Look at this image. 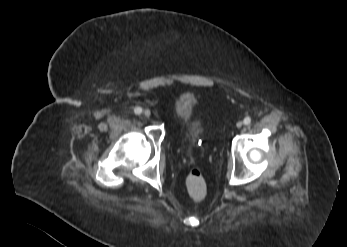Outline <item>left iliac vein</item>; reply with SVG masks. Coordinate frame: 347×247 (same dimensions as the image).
<instances>
[{
    "label": "left iliac vein",
    "instance_id": "left-iliac-vein-1",
    "mask_svg": "<svg viewBox=\"0 0 347 247\" xmlns=\"http://www.w3.org/2000/svg\"><path fill=\"white\" fill-rule=\"evenodd\" d=\"M242 125H243V123H242L241 121L237 122V124H236V126H237L238 128L242 127Z\"/></svg>",
    "mask_w": 347,
    "mask_h": 247
}]
</instances>
